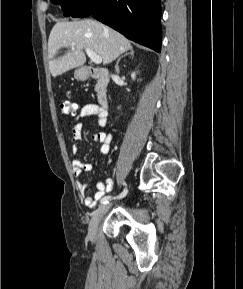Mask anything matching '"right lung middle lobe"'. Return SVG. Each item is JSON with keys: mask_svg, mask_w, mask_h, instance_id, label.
Listing matches in <instances>:
<instances>
[{"mask_svg": "<svg viewBox=\"0 0 243 289\" xmlns=\"http://www.w3.org/2000/svg\"><path fill=\"white\" fill-rule=\"evenodd\" d=\"M55 4H60L65 16H71L75 11L87 4L90 0H51Z\"/></svg>", "mask_w": 243, "mask_h": 289, "instance_id": "dd1d6c3e", "label": "right lung middle lobe"}]
</instances>
